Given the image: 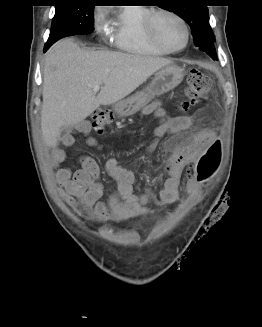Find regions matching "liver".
<instances>
[{
    "instance_id": "1",
    "label": "liver",
    "mask_w": 262,
    "mask_h": 327,
    "mask_svg": "<svg viewBox=\"0 0 262 327\" xmlns=\"http://www.w3.org/2000/svg\"><path fill=\"white\" fill-rule=\"evenodd\" d=\"M170 59L112 51H86L71 39L47 52L43 77L41 132L48 147L57 145L63 128L86 119L100 105L132 93ZM100 85L96 95L92 86Z\"/></svg>"
}]
</instances>
